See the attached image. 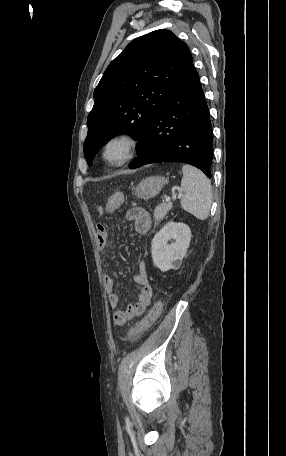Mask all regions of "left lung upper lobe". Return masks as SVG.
Returning <instances> with one entry per match:
<instances>
[{
	"label": "left lung upper lobe",
	"mask_w": 286,
	"mask_h": 456,
	"mask_svg": "<svg viewBox=\"0 0 286 456\" xmlns=\"http://www.w3.org/2000/svg\"><path fill=\"white\" fill-rule=\"evenodd\" d=\"M192 63L188 46L171 31L156 30L130 42L95 88L84 142L88 165L117 134L128 133L141 143L169 92Z\"/></svg>",
	"instance_id": "left-lung-upper-lobe-1"
}]
</instances>
